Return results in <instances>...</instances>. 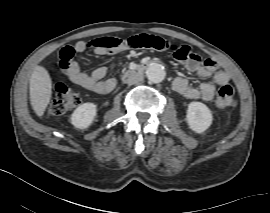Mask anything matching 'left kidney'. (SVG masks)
Wrapping results in <instances>:
<instances>
[{
    "mask_svg": "<svg viewBox=\"0 0 270 213\" xmlns=\"http://www.w3.org/2000/svg\"><path fill=\"white\" fill-rule=\"evenodd\" d=\"M186 120L189 128L196 133H203L212 124L210 109L201 102H191L188 105Z\"/></svg>",
    "mask_w": 270,
    "mask_h": 213,
    "instance_id": "left-kidney-1",
    "label": "left kidney"
}]
</instances>
